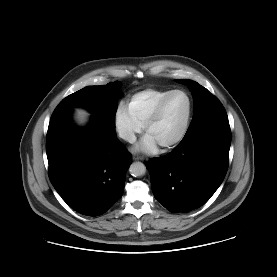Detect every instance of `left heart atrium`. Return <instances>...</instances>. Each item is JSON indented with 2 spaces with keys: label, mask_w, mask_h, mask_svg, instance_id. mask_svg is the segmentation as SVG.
<instances>
[{
  "label": "left heart atrium",
  "mask_w": 277,
  "mask_h": 277,
  "mask_svg": "<svg viewBox=\"0 0 277 277\" xmlns=\"http://www.w3.org/2000/svg\"><path fill=\"white\" fill-rule=\"evenodd\" d=\"M158 149L157 142L148 133L139 141V143L134 147L137 152L143 153H154Z\"/></svg>",
  "instance_id": "left-heart-atrium-1"
}]
</instances>
